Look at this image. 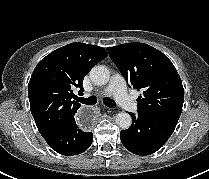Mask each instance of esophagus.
<instances>
[{"mask_svg":"<svg viewBox=\"0 0 209 179\" xmlns=\"http://www.w3.org/2000/svg\"><path fill=\"white\" fill-rule=\"evenodd\" d=\"M97 111L94 107H80L74 114L76 124L84 129L89 130L94 125Z\"/></svg>","mask_w":209,"mask_h":179,"instance_id":"esophagus-1","label":"esophagus"}]
</instances>
